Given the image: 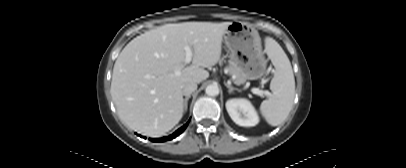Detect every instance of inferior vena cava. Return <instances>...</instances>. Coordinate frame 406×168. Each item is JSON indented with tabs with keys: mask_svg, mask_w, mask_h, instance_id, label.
Instances as JSON below:
<instances>
[{
	"mask_svg": "<svg viewBox=\"0 0 406 168\" xmlns=\"http://www.w3.org/2000/svg\"><path fill=\"white\" fill-rule=\"evenodd\" d=\"M197 89V83L196 82H187L183 85L182 87V93L184 96H189L190 94H192V92H194Z\"/></svg>",
	"mask_w": 406,
	"mask_h": 168,
	"instance_id": "obj_1",
	"label": "inferior vena cava"
}]
</instances>
